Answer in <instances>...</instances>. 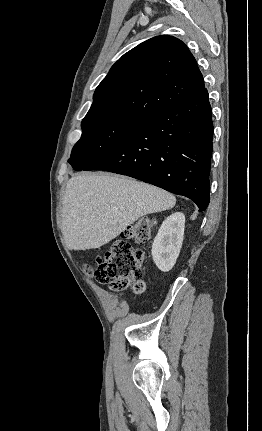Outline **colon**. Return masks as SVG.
Returning a JSON list of instances; mask_svg holds the SVG:
<instances>
[{"label": "colon", "instance_id": "5ec220e1", "mask_svg": "<svg viewBox=\"0 0 262 431\" xmlns=\"http://www.w3.org/2000/svg\"><path fill=\"white\" fill-rule=\"evenodd\" d=\"M157 224L154 217H144L122 232L102 256L96 258V269L84 263V271L96 282L113 291L143 290V256L135 244L146 242Z\"/></svg>", "mask_w": 262, "mask_h": 431}]
</instances>
